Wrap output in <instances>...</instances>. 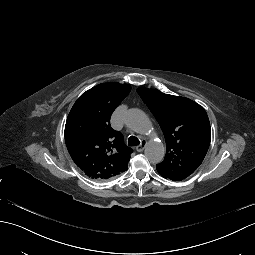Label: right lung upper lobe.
Masks as SVG:
<instances>
[{
	"label": "right lung upper lobe",
	"mask_w": 255,
	"mask_h": 255,
	"mask_svg": "<svg viewBox=\"0 0 255 255\" xmlns=\"http://www.w3.org/2000/svg\"><path fill=\"white\" fill-rule=\"evenodd\" d=\"M131 86L102 83L83 93L73 105L65 125V143L76 165L91 179H111L128 168L132 149L110 126L113 111Z\"/></svg>",
	"instance_id": "cb5924a9"
}]
</instances>
